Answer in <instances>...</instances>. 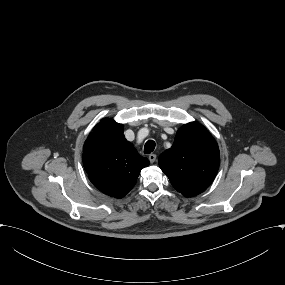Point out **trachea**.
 I'll use <instances>...</instances> for the list:
<instances>
[{"instance_id":"1","label":"trachea","mask_w":285,"mask_h":285,"mask_svg":"<svg viewBox=\"0 0 285 285\" xmlns=\"http://www.w3.org/2000/svg\"><path fill=\"white\" fill-rule=\"evenodd\" d=\"M155 142L153 140H148L144 146V153L150 154L155 149Z\"/></svg>"}]
</instances>
